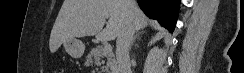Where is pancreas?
Returning a JSON list of instances; mask_svg holds the SVG:
<instances>
[{"instance_id":"pancreas-1","label":"pancreas","mask_w":244,"mask_h":73,"mask_svg":"<svg viewBox=\"0 0 244 73\" xmlns=\"http://www.w3.org/2000/svg\"><path fill=\"white\" fill-rule=\"evenodd\" d=\"M104 57L107 59L106 69L110 70L109 73H116L117 63L113 52L105 53L103 48L92 49L86 57V64L101 66L104 63Z\"/></svg>"}]
</instances>
